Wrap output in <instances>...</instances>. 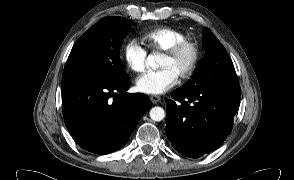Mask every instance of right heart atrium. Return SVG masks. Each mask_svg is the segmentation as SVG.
<instances>
[{"label":"right heart atrium","mask_w":294,"mask_h":180,"mask_svg":"<svg viewBox=\"0 0 294 180\" xmlns=\"http://www.w3.org/2000/svg\"><path fill=\"white\" fill-rule=\"evenodd\" d=\"M121 57L132 72L141 73L144 71L147 52L136 39H130L124 45Z\"/></svg>","instance_id":"right-heart-atrium-1"}]
</instances>
